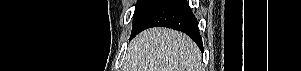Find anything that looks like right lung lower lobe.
Instances as JSON below:
<instances>
[{"label": "right lung lower lobe", "instance_id": "1", "mask_svg": "<svg viewBox=\"0 0 301 71\" xmlns=\"http://www.w3.org/2000/svg\"><path fill=\"white\" fill-rule=\"evenodd\" d=\"M155 26L182 31L188 34L201 50L203 49L197 19L186 0H159L145 15L130 39L142 30Z\"/></svg>", "mask_w": 301, "mask_h": 71}]
</instances>
